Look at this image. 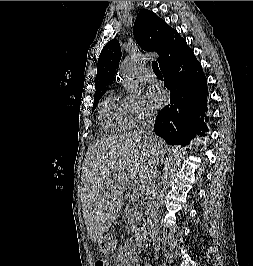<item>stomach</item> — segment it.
Instances as JSON below:
<instances>
[{
  "label": "stomach",
  "instance_id": "1",
  "mask_svg": "<svg viewBox=\"0 0 253 266\" xmlns=\"http://www.w3.org/2000/svg\"><path fill=\"white\" fill-rule=\"evenodd\" d=\"M98 247L100 251L102 252H110L114 248V240L112 236L110 235H104L102 238L98 241Z\"/></svg>",
  "mask_w": 253,
  "mask_h": 266
}]
</instances>
